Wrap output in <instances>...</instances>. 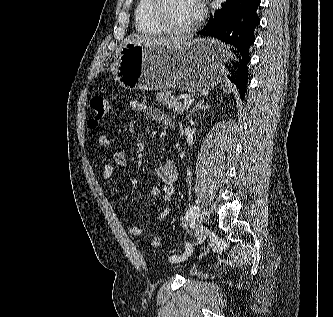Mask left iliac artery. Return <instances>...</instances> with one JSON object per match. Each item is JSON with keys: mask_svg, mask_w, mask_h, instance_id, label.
Here are the masks:
<instances>
[{"mask_svg": "<svg viewBox=\"0 0 333 317\" xmlns=\"http://www.w3.org/2000/svg\"><path fill=\"white\" fill-rule=\"evenodd\" d=\"M199 212H200V208L199 206H192L189 208V210L187 211L186 215L184 216V221H190V220H194L199 216ZM192 252V246L190 243H186L185 245V252L183 255H173L170 257V261L171 262H180L182 260H185L186 258H188V256L191 255Z\"/></svg>", "mask_w": 333, "mask_h": 317, "instance_id": "left-iliac-artery-1", "label": "left iliac artery"}]
</instances>
